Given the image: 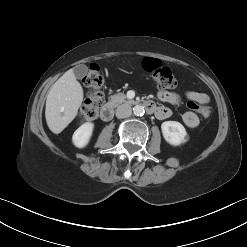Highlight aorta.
Masks as SVG:
<instances>
[{
    "label": "aorta",
    "mask_w": 247,
    "mask_h": 247,
    "mask_svg": "<svg viewBox=\"0 0 247 247\" xmlns=\"http://www.w3.org/2000/svg\"><path fill=\"white\" fill-rule=\"evenodd\" d=\"M133 112L136 116H142L144 115V107L141 105H136L133 107Z\"/></svg>",
    "instance_id": "1"
}]
</instances>
